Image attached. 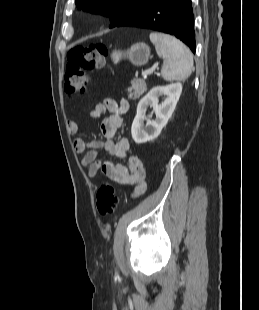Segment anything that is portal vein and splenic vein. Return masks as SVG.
Listing matches in <instances>:
<instances>
[{"label": "portal vein and splenic vein", "instance_id": "18ae733b", "mask_svg": "<svg viewBox=\"0 0 259 310\" xmlns=\"http://www.w3.org/2000/svg\"><path fill=\"white\" fill-rule=\"evenodd\" d=\"M156 68H157V66L154 65L153 67H151V68H149V69L143 71V72H142V76H143L144 78H147V76L151 75V74L155 71Z\"/></svg>", "mask_w": 259, "mask_h": 310}]
</instances>
